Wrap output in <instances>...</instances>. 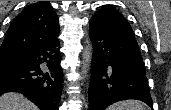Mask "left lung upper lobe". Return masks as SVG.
Wrapping results in <instances>:
<instances>
[{
    "label": "left lung upper lobe",
    "instance_id": "5c2ea615",
    "mask_svg": "<svg viewBox=\"0 0 171 110\" xmlns=\"http://www.w3.org/2000/svg\"><path fill=\"white\" fill-rule=\"evenodd\" d=\"M93 17L106 24L114 33L136 42L134 32L127 19L113 7L104 5Z\"/></svg>",
    "mask_w": 171,
    "mask_h": 110
}]
</instances>
